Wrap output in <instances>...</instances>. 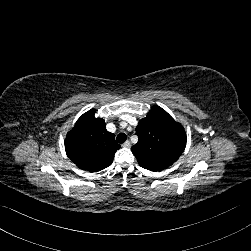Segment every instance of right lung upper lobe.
Wrapping results in <instances>:
<instances>
[{"label": "right lung upper lobe", "instance_id": "cb5924a9", "mask_svg": "<svg viewBox=\"0 0 251 251\" xmlns=\"http://www.w3.org/2000/svg\"><path fill=\"white\" fill-rule=\"evenodd\" d=\"M95 109L84 113L65 140L67 156L82 170L97 172L111 165L120 145L106 130L103 119L95 118Z\"/></svg>", "mask_w": 251, "mask_h": 251}]
</instances>
